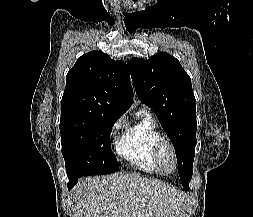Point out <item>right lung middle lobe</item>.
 <instances>
[{"label": "right lung middle lobe", "instance_id": "1", "mask_svg": "<svg viewBox=\"0 0 253 217\" xmlns=\"http://www.w3.org/2000/svg\"><path fill=\"white\" fill-rule=\"evenodd\" d=\"M119 117L84 110L61 111L62 154L68 177L118 171L111 151V128Z\"/></svg>", "mask_w": 253, "mask_h": 217}]
</instances>
